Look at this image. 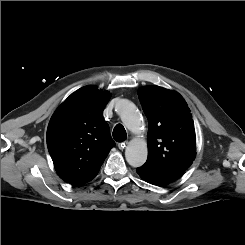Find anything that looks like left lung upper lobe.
I'll use <instances>...</instances> for the list:
<instances>
[{
  "label": "left lung upper lobe",
  "instance_id": "obj_1",
  "mask_svg": "<svg viewBox=\"0 0 245 245\" xmlns=\"http://www.w3.org/2000/svg\"><path fill=\"white\" fill-rule=\"evenodd\" d=\"M138 97L148 118V158L140 168L179 179L196 155L190 109L179 93L159 86L141 88Z\"/></svg>",
  "mask_w": 245,
  "mask_h": 245
}]
</instances>
